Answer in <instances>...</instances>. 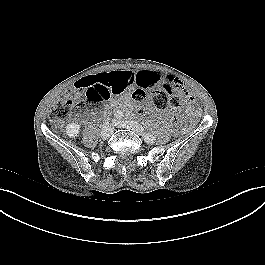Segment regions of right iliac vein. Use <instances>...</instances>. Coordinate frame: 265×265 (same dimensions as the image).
<instances>
[{"instance_id": "1", "label": "right iliac vein", "mask_w": 265, "mask_h": 265, "mask_svg": "<svg viewBox=\"0 0 265 265\" xmlns=\"http://www.w3.org/2000/svg\"><path fill=\"white\" fill-rule=\"evenodd\" d=\"M113 133V126L110 123H106L100 133L102 139H108Z\"/></svg>"}]
</instances>
